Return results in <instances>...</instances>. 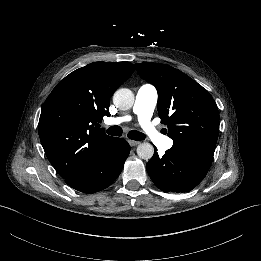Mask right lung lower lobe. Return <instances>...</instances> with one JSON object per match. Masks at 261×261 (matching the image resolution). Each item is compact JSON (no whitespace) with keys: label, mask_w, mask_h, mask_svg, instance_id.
Returning a JSON list of instances; mask_svg holds the SVG:
<instances>
[{"label":"right lung lower lobe","mask_w":261,"mask_h":261,"mask_svg":"<svg viewBox=\"0 0 261 261\" xmlns=\"http://www.w3.org/2000/svg\"><path fill=\"white\" fill-rule=\"evenodd\" d=\"M130 152L123 138H114L106 152L95 162L65 178L72 188L83 193H95L107 188L119 176Z\"/></svg>","instance_id":"obj_1"}]
</instances>
